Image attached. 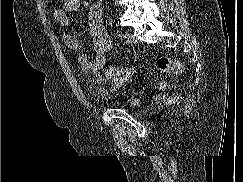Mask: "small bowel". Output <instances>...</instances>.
<instances>
[{"label":"small bowel","mask_w":243,"mask_h":182,"mask_svg":"<svg viewBox=\"0 0 243 182\" xmlns=\"http://www.w3.org/2000/svg\"><path fill=\"white\" fill-rule=\"evenodd\" d=\"M79 0H62L60 8L53 12L54 20L62 28V39L66 46L77 53V61L84 74L92 76L96 84H103L104 79L99 71L104 67L106 55L114 48L113 40L103 23V10L99 3H94L89 11V25L93 39L95 59L90 60L88 55L81 51L78 37L68 31L70 19L68 14L76 11Z\"/></svg>","instance_id":"obj_1"}]
</instances>
